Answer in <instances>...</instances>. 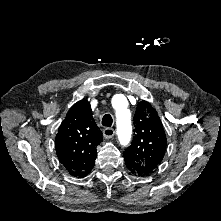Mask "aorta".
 <instances>
[{
    "label": "aorta",
    "mask_w": 221,
    "mask_h": 221,
    "mask_svg": "<svg viewBox=\"0 0 221 221\" xmlns=\"http://www.w3.org/2000/svg\"><path fill=\"white\" fill-rule=\"evenodd\" d=\"M117 135L121 145L126 146L131 139L132 124L130 111L127 109L125 100L116 106Z\"/></svg>",
    "instance_id": "762f6f07"
}]
</instances>
